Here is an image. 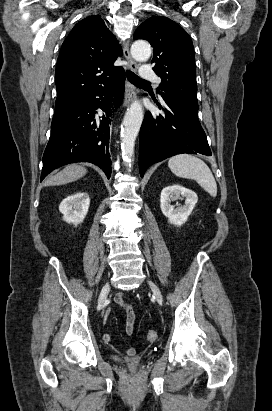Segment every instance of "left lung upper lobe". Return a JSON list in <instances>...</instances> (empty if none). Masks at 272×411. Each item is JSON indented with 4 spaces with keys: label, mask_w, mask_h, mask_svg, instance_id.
Returning <instances> with one entry per match:
<instances>
[{
    "label": "left lung upper lobe",
    "mask_w": 272,
    "mask_h": 411,
    "mask_svg": "<svg viewBox=\"0 0 272 411\" xmlns=\"http://www.w3.org/2000/svg\"><path fill=\"white\" fill-rule=\"evenodd\" d=\"M133 38L147 40L154 49L151 63L162 79L159 95L198 109L194 48L186 31L158 16L142 23Z\"/></svg>",
    "instance_id": "left-lung-upper-lobe-1"
}]
</instances>
